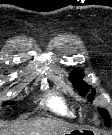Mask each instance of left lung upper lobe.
Returning a JSON list of instances; mask_svg holds the SVG:
<instances>
[{"label": "left lung upper lobe", "mask_w": 112, "mask_h": 135, "mask_svg": "<svg viewBox=\"0 0 112 135\" xmlns=\"http://www.w3.org/2000/svg\"><path fill=\"white\" fill-rule=\"evenodd\" d=\"M81 75H82L81 70L76 69L73 71L70 79L73 81L75 86L79 88V92L84 95L87 93L88 89H90L91 87L83 82L82 80L83 77ZM94 94H95V90L92 89V94H89L88 96L90 101H92ZM99 111H100V114L103 116V118H105V124L107 126H110L111 120H110V116L108 115V112L104 109H99Z\"/></svg>", "instance_id": "obj_1"}]
</instances>
